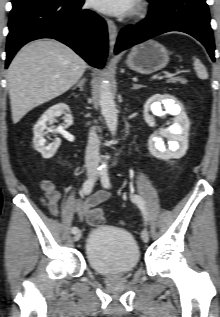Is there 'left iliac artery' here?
<instances>
[{"instance_id": "obj_1", "label": "left iliac artery", "mask_w": 220, "mask_h": 317, "mask_svg": "<svg viewBox=\"0 0 220 317\" xmlns=\"http://www.w3.org/2000/svg\"><path fill=\"white\" fill-rule=\"evenodd\" d=\"M101 183H102L104 188L111 187L110 178H109L108 172L106 170L101 172ZM132 201L138 205V207L142 211V214L144 216L145 221H147V213H146L144 200L138 195H133Z\"/></svg>"}]
</instances>
